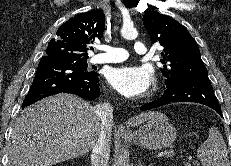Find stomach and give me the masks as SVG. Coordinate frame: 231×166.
Returning a JSON list of instances; mask_svg holds the SVG:
<instances>
[{
	"instance_id": "obj_1",
	"label": "stomach",
	"mask_w": 231,
	"mask_h": 166,
	"mask_svg": "<svg viewBox=\"0 0 231 166\" xmlns=\"http://www.w3.org/2000/svg\"><path fill=\"white\" fill-rule=\"evenodd\" d=\"M124 139L146 149L160 150L174 142L176 129L164 114L156 112L131 137Z\"/></svg>"
}]
</instances>
